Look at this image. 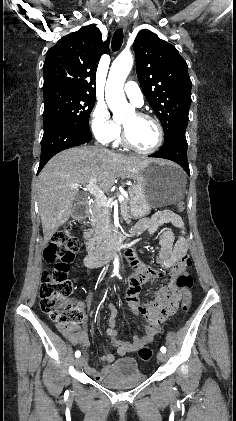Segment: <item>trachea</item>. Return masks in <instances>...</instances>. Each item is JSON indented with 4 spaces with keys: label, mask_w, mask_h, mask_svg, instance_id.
Returning <instances> with one entry per match:
<instances>
[{
    "label": "trachea",
    "mask_w": 236,
    "mask_h": 421,
    "mask_svg": "<svg viewBox=\"0 0 236 421\" xmlns=\"http://www.w3.org/2000/svg\"><path fill=\"white\" fill-rule=\"evenodd\" d=\"M123 36L124 35L122 28H119L115 31L111 41V47L113 52H116L121 48V45L123 43Z\"/></svg>",
    "instance_id": "3493384b"
}]
</instances>
